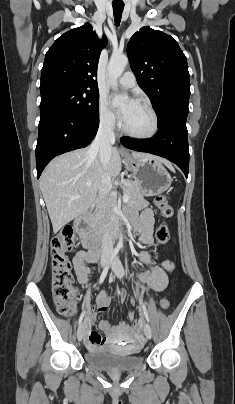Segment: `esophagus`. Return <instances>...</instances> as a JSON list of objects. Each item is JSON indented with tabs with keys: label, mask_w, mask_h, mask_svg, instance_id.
Returning a JSON list of instances; mask_svg holds the SVG:
<instances>
[{
	"label": "esophagus",
	"mask_w": 235,
	"mask_h": 404,
	"mask_svg": "<svg viewBox=\"0 0 235 404\" xmlns=\"http://www.w3.org/2000/svg\"><path fill=\"white\" fill-rule=\"evenodd\" d=\"M120 153L127 155V154H128V151H127L125 148L121 147V148H120Z\"/></svg>",
	"instance_id": "1"
}]
</instances>
